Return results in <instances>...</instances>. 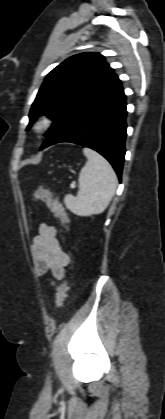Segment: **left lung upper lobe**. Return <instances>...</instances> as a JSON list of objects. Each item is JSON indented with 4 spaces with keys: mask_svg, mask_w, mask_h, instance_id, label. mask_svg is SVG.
I'll return each instance as SVG.
<instances>
[{
    "mask_svg": "<svg viewBox=\"0 0 165 419\" xmlns=\"http://www.w3.org/2000/svg\"><path fill=\"white\" fill-rule=\"evenodd\" d=\"M117 75L99 53L74 55L45 78L29 113L30 129L39 115L52 118L49 136L84 101L105 89Z\"/></svg>",
    "mask_w": 165,
    "mask_h": 419,
    "instance_id": "1",
    "label": "left lung upper lobe"
}]
</instances>
